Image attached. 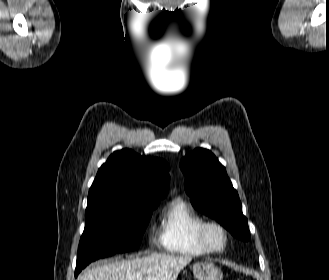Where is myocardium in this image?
<instances>
[{"label":"myocardium","instance_id":"myocardium-1","mask_svg":"<svg viewBox=\"0 0 329 280\" xmlns=\"http://www.w3.org/2000/svg\"><path fill=\"white\" fill-rule=\"evenodd\" d=\"M210 229H217L223 235V244L220 247H215L211 244L208 238V232ZM197 239L200 245L209 253H221L223 252L229 241V233L226 227L215 220H205L197 230Z\"/></svg>","mask_w":329,"mask_h":280}]
</instances>
